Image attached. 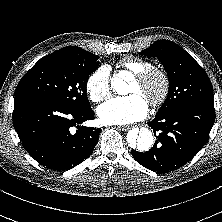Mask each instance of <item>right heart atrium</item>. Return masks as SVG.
I'll return each mask as SVG.
<instances>
[{"label": "right heart atrium", "mask_w": 222, "mask_h": 222, "mask_svg": "<svg viewBox=\"0 0 222 222\" xmlns=\"http://www.w3.org/2000/svg\"><path fill=\"white\" fill-rule=\"evenodd\" d=\"M86 90L91 101L99 103L111 95V77L107 66L97 68L86 82Z\"/></svg>", "instance_id": "right-heart-atrium-1"}]
</instances>
